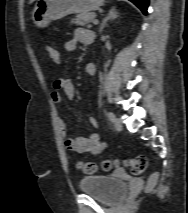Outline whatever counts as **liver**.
Masks as SVG:
<instances>
[{"mask_svg":"<svg viewBox=\"0 0 188 213\" xmlns=\"http://www.w3.org/2000/svg\"><path fill=\"white\" fill-rule=\"evenodd\" d=\"M35 0H29V3L31 4V3H33Z\"/></svg>","mask_w":188,"mask_h":213,"instance_id":"1","label":"liver"}]
</instances>
